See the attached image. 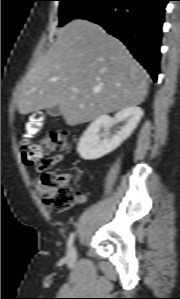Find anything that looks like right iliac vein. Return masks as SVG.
I'll use <instances>...</instances> for the list:
<instances>
[{
    "label": "right iliac vein",
    "mask_w": 180,
    "mask_h": 299,
    "mask_svg": "<svg viewBox=\"0 0 180 299\" xmlns=\"http://www.w3.org/2000/svg\"><path fill=\"white\" fill-rule=\"evenodd\" d=\"M76 256H77L76 248L72 247L67 254V261L70 263L74 262L76 259Z\"/></svg>",
    "instance_id": "right-iliac-vein-1"
}]
</instances>
